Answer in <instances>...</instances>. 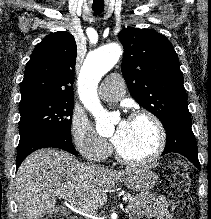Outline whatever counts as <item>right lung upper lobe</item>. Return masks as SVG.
Returning a JSON list of instances; mask_svg holds the SVG:
<instances>
[{
	"label": "right lung upper lobe",
	"mask_w": 211,
	"mask_h": 219,
	"mask_svg": "<svg viewBox=\"0 0 211 219\" xmlns=\"http://www.w3.org/2000/svg\"><path fill=\"white\" fill-rule=\"evenodd\" d=\"M76 56V42L70 33L46 36L36 45L26 64L21 101L38 97L73 100Z\"/></svg>",
	"instance_id": "obj_1"
}]
</instances>
